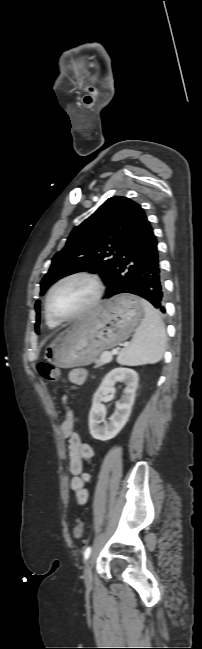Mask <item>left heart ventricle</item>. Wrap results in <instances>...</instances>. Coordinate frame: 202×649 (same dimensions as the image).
Returning <instances> with one entry per match:
<instances>
[{"label":"left heart ventricle","mask_w":202,"mask_h":649,"mask_svg":"<svg viewBox=\"0 0 202 649\" xmlns=\"http://www.w3.org/2000/svg\"><path fill=\"white\" fill-rule=\"evenodd\" d=\"M93 285L74 278L62 283L50 298V308L59 317H68L82 309L93 297Z\"/></svg>","instance_id":"left-heart-ventricle-1"}]
</instances>
